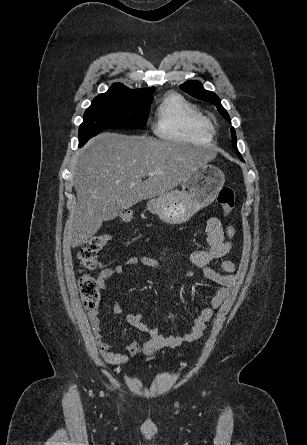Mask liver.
Listing matches in <instances>:
<instances>
[{"label": "liver", "instance_id": "liver-1", "mask_svg": "<svg viewBox=\"0 0 307 445\" xmlns=\"http://www.w3.org/2000/svg\"><path fill=\"white\" fill-rule=\"evenodd\" d=\"M215 154H213L214 158ZM211 160L200 146L101 132L77 156L74 186L77 204L65 227V245L88 243L103 220L115 218L143 198L170 192L196 166ZM161 170L163 174H148ZM142 176H148L142 180Z\"/></svg>", "mask_w": 307, "mask_h": 445}]
</instances>
